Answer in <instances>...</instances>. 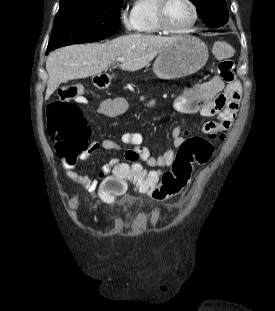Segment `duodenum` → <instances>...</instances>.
Wrapping results in <instances>:
<instances>
[{"mask_svg":"<svg viewBox=\"0 0 275 311\" xmlns=\"http://www.w3.org/2000/svg\"><path fill=\"white\" fill-rule=\"evenodd\" d=\"M92 84L99 89H105L106 84H109L110 79L109 77H103L102 74H93L91 79Z\"/></svg>","mask_w":275,"mask_h":311,"instance_id":"410a0bca","label":"duodenum"}]
</instances>
